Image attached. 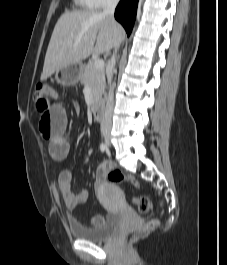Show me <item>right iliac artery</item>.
Masks as SVG:
<instances>
[{
  "mask_svg": "<svg viewBox=\"0 0 227 265\" xmlns=\"http://www.w3.org/2000/svg\"><path fill=\"white\" fill-rule=\"evenodd\" d=\"M106 149H107L106 148V145L104 143H101L100 144V150H101V152H105Z\"/></svg>",
  "mask_w": 227,
  "mask_h": 265,
  "instance_id": "1",
  "label": "right iliac artery"
}]
</instances>
